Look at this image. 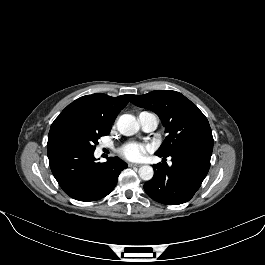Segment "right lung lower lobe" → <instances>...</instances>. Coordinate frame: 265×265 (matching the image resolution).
Segmentation results:
<instances>
[{
	"mask_svg": "<svg viewBox=\"0 0 265 265\" xmlns=\"http://www.w3.org/2000/svg\"><path fill=\"white\" fill-rule=\"evenodd\" d=\"M94 151L59 145L48 147L51 171L60 187L73 199L95 201L108 195L127 164L118 157L95 162Z\"/></svg>",
	"mask_w": 265,
	"mask_h": 265,
	"instance_id": "98d812e1",
	"label": "right lung lower lobe"
}]
</instances>
